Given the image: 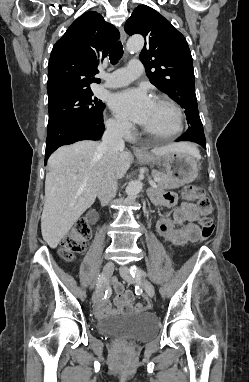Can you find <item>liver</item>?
<instances>
[{
    "instance_id": "6515ba94",
    "label": "liver",
    "mask_w": 249,
    "mask_h": 382,
    "mask_svg": "<svg viewBox=\"0 0 249 382\" xmlns=\"http://www.w3.org/2000/svg\"><path fill=\"white\" fill-rule=\"evenodd\" d=\"M174 151H185L199 157L191 144L182 142L155 148L152 153L164 156ZM131 163L130 153H118L114 160L117 178L124 177ZM48 166L41 232L46 243L54 249L95 202L107 158L99 142L83 140L58 148L50 156Z\"/></svg>"
}]
</instances>
